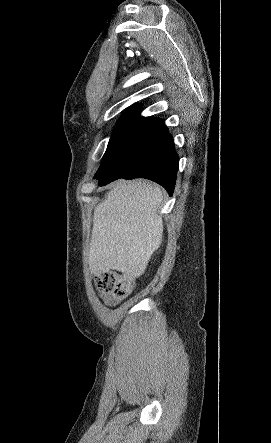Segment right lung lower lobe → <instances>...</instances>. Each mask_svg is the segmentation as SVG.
<instances>
[{
	"label": "right lung lower lobe",
	"instance_id": "obj_1",
	"mask_svg": "<svg viewBox=\"0 0 271 443\" xmlns=\"http://www.w3.org/2000/svg\"><path fill=\"white\" fill-rule=\"evenodd\" d=\"M179 158L164 122L142 118L123 142L116 158L95 175L99 185L114 180L146 178L162 185L170 195L175 187Z\"/></svg>",
	"mask_w": 271,
	"mask_h": 443
}]
</instances>
